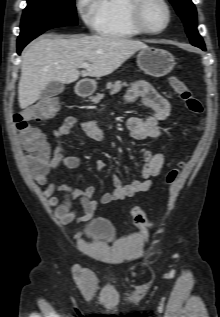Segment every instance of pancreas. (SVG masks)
I'll use <instances>...</instances> for the list:
<instances>
[{"mask_svg":"<svg viewBox=\"0 0 220 317\" xmlns=\"http://www.w3.org/2000/svg\"><path fill=\"white\" fill-rule=\"evenodd\" d=\"M124 86H127L126 82L116 81L115 83H107L106 88L110 90V95H114L118 93ZM103 97L104 94H97L95 97H91V101L97 103L103 99Z\"/></svg>","mask_w":220,"mask_h":317,"instance_id":"cf45deb5","label":"pancreas"}]
</instances>
